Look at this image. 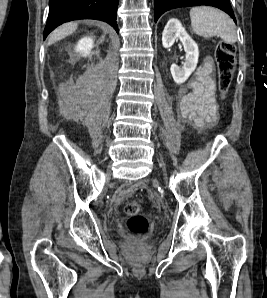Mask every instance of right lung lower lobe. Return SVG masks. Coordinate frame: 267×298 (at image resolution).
<instances>
[{"mask_svg": "<svg viewBox=\"0 0 267 298\" xmlns=\"http://www.w3.org/2000/svg\"><path fill=\"white\" fill-rule=\"evenodd\" d=\"M119 0H49V15L44 39L62 23L78 19H97L110 24L118 32L115 23Z\"/></svg>", "mask_w": 267, "mask_h": 298, "instance_id": "98d812e1", "label": "right lung lower lobe"}]
</instances>
